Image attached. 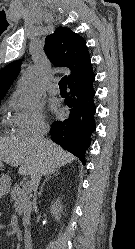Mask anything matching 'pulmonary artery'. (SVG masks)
<instances>
[{"label":"pulmonary artery","mask_w":135,"mask_h":249,"mask_svg":"<svg viewBox=\"0 0 135 249\" xmlns=\"http://www.w3.org/2000/svg\"><path fill=\"white\" fill-rule=\"evenodd\" d=\"M60 89L59 86L56 82L52 83L49 87H48V92L51 95H57L59 93Z\"/></svg>","instance_id":"obj_1"}]
</instances>
